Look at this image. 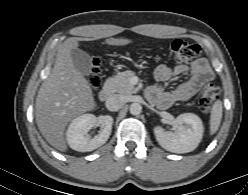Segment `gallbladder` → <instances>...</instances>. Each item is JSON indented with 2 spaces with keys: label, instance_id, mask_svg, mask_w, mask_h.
<instances>
[{
  "label": "gallbladder",
  "instance_id": "obj_1",
  "mask_svg": "<svg viewBox=\"0 0 248 195\" xmlns=\"http://www.w3.org/2000/svg\"><path fill=\"white\" fill-rule=\"evenodd\" d=\"M71 57L75 68L84 76L91 74L92 63L90 56L83 50L79 48H74L71 50Z\"/></svg>",
  "mask_w": 248,
  "mask_h": 195
}]
</instances>
